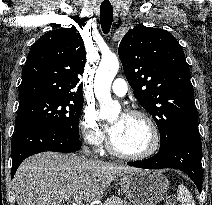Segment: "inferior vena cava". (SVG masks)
<instances>
[{"mask_svg": "<svg viewBox=\"0 0 212 205\" xmlns=\"http://www.w3.org/2000/svg\"><path fill=\"white\" fill-rule=\"evenodd\" d=\"M83 151H84V153L87 154V155L90 154V151H89L88 147L85 146V145L83 146Z\"/></svg>", "mask_w": 212, "mask_h": 205, "instance_id": "obj_1", "label": "inferior vena cava"}]
</instances>
